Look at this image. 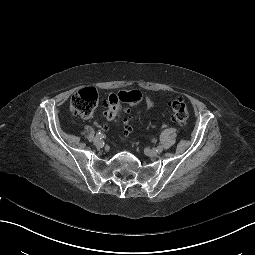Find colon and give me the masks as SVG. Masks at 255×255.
<instances>
[{
  "label": "colon",
  "mask_w": 255,
  "mask_h": 255,
  "mask_svg": "<svg viewBox=\"0 0 255 255\" xmlns=\"http://www.w3.org/2000/svg\"><path fill=\"white\" fill-rule=\"evenodd\" d=\"M142 100V94L137 90H125L118 93H112L106 100V115L109 120L115 119L121 108V103L130 106L139 104ZM98 104V94L94 88H84L76 92L70 101V109L82 116L89 117L93 114ZM171 116L179 125L186 123L189 113L186 104L181 99H175L170 104Z\"/></svg>",
  "instance_id": "1"
}]
</instances>
